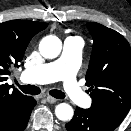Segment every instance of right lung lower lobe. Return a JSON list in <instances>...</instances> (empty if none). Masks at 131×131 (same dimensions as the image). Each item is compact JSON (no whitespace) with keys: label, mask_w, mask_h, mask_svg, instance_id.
Wrapping results in <instances>:
<instances>
[{"label":"right lung lower lobe","mask_w":131,"mask_h":131,"mask_svg":"<svg viewBox=\"0 0 131 131\" xmlns=\"http://www.w3.org/2000/svg\"><path fill=\"white\" fill-rule=\"evenodd\" d=\"M35 105L36 101L34 98L31 97L24 108V111L21 115L19 122L12 131H23L26 128L28 120L30 118L31 111L35 107Z\"/></svg>","instance_id":"1"}]
</instances>
